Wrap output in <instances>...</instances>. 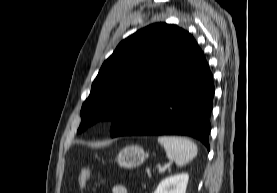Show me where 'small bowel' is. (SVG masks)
I'll use <instances>...</instances> for the list:
<instances>
[{
    "instance_id": "1",
    "label": "small bowel",
    "mask_w": 277,
    "mask_h": 193,
    "mask_svg": "<svg viewBox=\"0 0 277 193\" xmlns=\"http://www.w3.org/2000/svg\"><path fill=\"white\" fill-rule=\"evenodd\" d=\"M112 193H128V190L125 186L123 185H115L112 188Z\"/></svg>"
}]
</instances>
